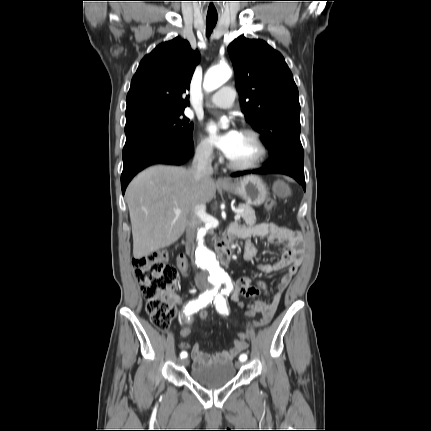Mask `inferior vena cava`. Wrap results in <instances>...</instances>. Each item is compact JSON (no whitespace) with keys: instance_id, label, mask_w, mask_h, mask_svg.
Here are the masks:
<instances>
[{"instance_id":"obj_1","label":"inferior vena cava","mask_w":431,"mask_h":431,"mask_svg":"<svg viewBox=\"0 0 431 431\" xmlns=\"http://www.w3.org/2000/svg\"><path fill=\"white\" fill-rule=\"evenodd\" d=\"M211 153L212 147L209 145L196 151L192 162V167L190 169L195 180L199 181L202 178H211V175L213 174ZM205 213V204H197L195 206V214L188 222L187 241L192 247L194 246L197 228L201 224V218L205 215Z\"/></svg>"}]
</instances>
